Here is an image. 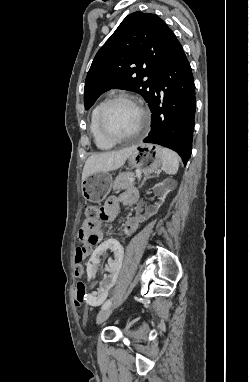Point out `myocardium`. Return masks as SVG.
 <instances>
[{
	"mask_svg": "<svg viewBox=\"0 0 249 382\" xmlns=\"http://www.w3.org/2000/svg\"><path fill=\"white\" fill-rule=\"evenodd\" d=\"M117 102L132 103L139 110L141 118H140L139 126H138L135 133L128 135V136L119 137V136L112 135L108 131V129L105 125V115H106L108 108L112 104L117 103ZM148 123H149V116H148V113L146 112V110L140 105L139 102H137L133 97L128 96V95H116V96L109 98L108 100H106L102 104V106L99 110V113H98V128H99L102 136L106 140H108L114 144L136 139L148 127Z\"/></svg>",
	"mask_w": 249,
	"mask_h": 382,
	"instance_id": "1",
	"label": "myocardium"
}]
</instances>
